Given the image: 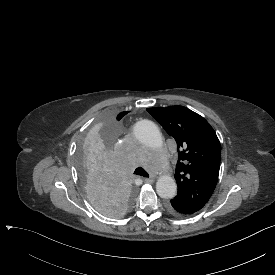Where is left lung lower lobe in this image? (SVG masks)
I'll return each mask as SVG.
<instances>
[{"label":"left lung lower lobe","instance_id":"1","mask_svg":"<svg viewBox=\"0 0 275 275\" xmlns=\"http://www.w3.org/2000/svg\"><path fill=\"white\" fill-rule=\"evenodd\" d=\"M168 211L175 217H183L194 214L197 211H192L186 206L175 203L171 200V205L168 206Z\"/></svg>","mask_w":275,"mask_h":275}]
</instances>
